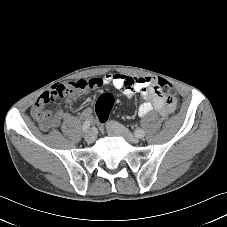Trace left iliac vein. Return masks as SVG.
Instances as JSON below:
<instances>
[{"mask_svg":"<svg viewBox=\"0 0 227 227\" xmlns=\"http://www.w3.org/2000/svg\"><path fill=\"white\" fill-rule=\"evenodd\" d=\"M106 127L110 133L123 137L128 142L136 143L138 141V138L136 136H134L129 130H127L124 126L120 125L117 122L110 121L107 123Z\"/></svg>","mask_w":227,"mask_h":227,"instance_id":"4c4485c4","label":"left iliac vein"}]
</instances>
